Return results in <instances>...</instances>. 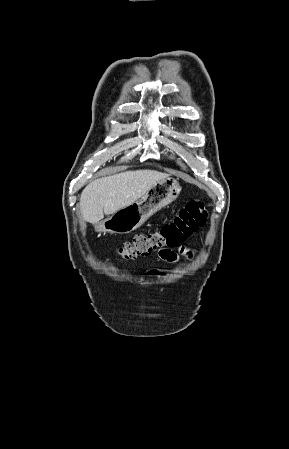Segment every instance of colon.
<instances>
[{
	"label": "colon",
	"mask_w": 289,
	"mask_h": 449,
	"mask_svg": "<svg viewBox=\"0 0 289 449\" xmlns=\"http://www.w3.org/2000/svg\"><path fill=\"white\" fill-rule=\"evenodd\" d=\"M206 220L207 211L204 203L190 201L173 221L163 225L156 232L136 235L118 248V254L124 259H133L149 255L155 250L179 247L193 232L203 226ZM150 275L159 277L161 270L152 268Z\"/></svg>",
	"instance_id": "colon-1"
}]
</instances>
